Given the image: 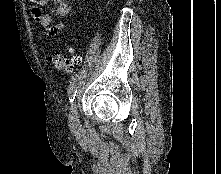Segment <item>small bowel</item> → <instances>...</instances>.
Returning <instances> with one entry per match:
<instances>
[{
    "label": "small bowel",
    "mask_w": 221,
    "mask_h": 174,
    "mask_svg": "<svg viewBox=\"0 0 221 174\" xmlns=\"http://www.w3.org/2000/svg\"><path fill=\"white\" fill-rule=\"evenodd\" d=\"M32 4L31 13L36 24L44 29L48 35L54 36L60 33L64 29L63 23L52 25L55 18H62L69 14L70 4L67 0H53L56 4V8L50 12L45 13L43 6L48 0H29Z\"/></svg>",
    "instance_id": "c3829d8e"
}]
</instances>
